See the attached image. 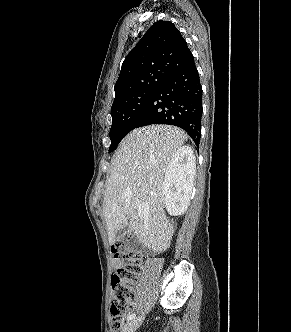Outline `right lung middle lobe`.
Instances as JSON below:
<instances>
[{
	"mask_svg": "<svg viewBox=\"0 0 291 332\" xmlns=\"http://www.w3.org/2000/svg\"><path fill=\"white\" fill-rule=\"evenodd\" d=\"M161 81H154L148 88L127 94L113 102L111 107L112 126L110 129L111 145L109 152L116 149L124 136L132 130L138 113L155 92Z\"/></svg>",
	"mask_w": 291,
	"mask_h": 332,
	"instance_id": "right-lung-middle-lobe-1",
	"label": "right lung middle lobe"
}]
</instances>
